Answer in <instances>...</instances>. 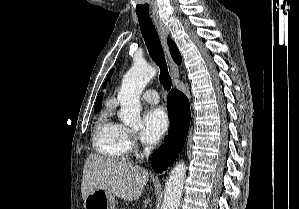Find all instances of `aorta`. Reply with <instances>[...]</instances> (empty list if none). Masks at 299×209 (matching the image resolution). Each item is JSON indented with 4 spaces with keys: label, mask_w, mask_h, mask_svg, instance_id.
<instances>
[{
    "label": "aorta",
    "mask_w": 299,
    "mask_h": 209,
    "mask_svg": "<svg viewBox=\"0 0 299 209\" xmlns=\"http://www.w3.org/2000/svg\"><path fill=\"white\" fill-rule=\"evenodd\" d=\"M155 75V68L147 63L137 62L124 75L118 100L121 106L119 118L126 126L133 129L143 127L140 94ZM185 173L186 165L182 161L173 168L165 186L161 209H179Z\"/></svg>",
    "instance_id": "762f6f07"
}]
</instances>
